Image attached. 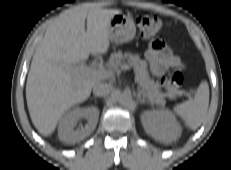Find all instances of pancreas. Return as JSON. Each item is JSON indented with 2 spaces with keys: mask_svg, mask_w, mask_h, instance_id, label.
<instances>
[{
  "mask_svg": "<svg viewBox=\"0 0 231 170\" xmlns=\"http://www.w3.org/2000/svg\"><path fill=\"white\" fill-rule=\"evenodd\" d=\"M126 60L134 68L135 81L148 94L151 102L164 106L167 94L162 93L159 83L150 78L146 62L141 60L138 54L131 52L123 54L122 51L115 52L110 56L108 69L118 72L121 66L126 64Z\"/></svg>",
  "mask_w": 231,
  "mask_h": 170,
  "instance_id": "cf45deb5",
  "label": "pancreas"
}]
</instances>
